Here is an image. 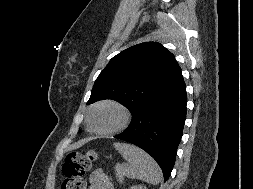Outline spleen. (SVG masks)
I'll list each match as a JSON object with an SVG mask.
<instances>
[{
  "mask_svg": "<svg viewBox=\"0 0 253 189\" xmlns=\"http://www.w3.org/2000/svg\"><path fill=\"white\" fill-rule=\"evenodd\" d=\"M114 148L127 160L122 173L128 178L140 179L150 184H158L162 172L156 161L141 148L127 143H114Z\"/></svg>",
  "mask_w": 253,
  "mask_h": 189,
  "instance_id": "1",
  "label": "spleen"
}]
</instances>
